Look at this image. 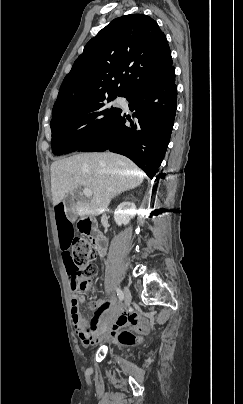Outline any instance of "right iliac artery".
Returning a JSON list of instances; mask_svg holds the SVG:
<instances>
[{
	"label": "right iliac artery",
	"mask_w": 243,
	"mask_h": 404,
	"mask_svg": "<svg viewBox=\"0 0 243 404\" xmlns=\"http://www.w3.org/2000/svg\"><path fill=\"white\" fill-rule=\"evenodd\" d=\"M116 292H117L119 299L122 301L124 299L123 292L119 288H116Z\"/></svg>",
	"instance_id": "right-iliac-artery-1"
}]
</instances>
